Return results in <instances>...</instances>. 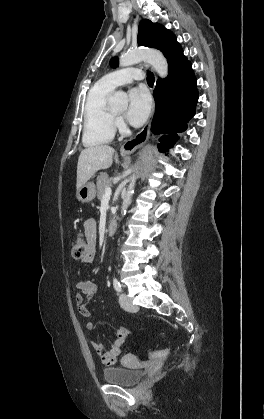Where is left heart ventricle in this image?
I'll list each match as a JSON object with an SVG mask.
<instances>
[{"label": "left heart ventricle", "instance_id": "left-heart-ventricle-1", "mask_svg": "<svg viewBox=\"0 0 264 419\" xmlns=\"http://www.w3.org/2000/svg\"><path fill=\"white\" fill-rule=\"evenodd\" d=\"M115 112L120 113V112H122V109H116Z\"/></svg>", "mask_w": 264, "mask_h": 419}]
</instances>
